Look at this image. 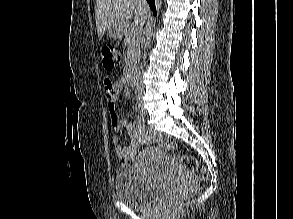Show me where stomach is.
Here are the masks:
<instances>
[{
  "label": "stomach",
  "instance_id": "0dacf381",
  "mask_svg": "<svg viewBox=\"0 0 293 219\" xmlns=\"http://www.w3.org/2000/svg\"><path fill=\"white\" fill-rule=\"evenodd\" d=\"M126 32V28L120 25H111L107 30V35L111 39H120Z\"/></svg>",
  "mask_w": 293,
  "mask_h": 219
}]
</instances>
